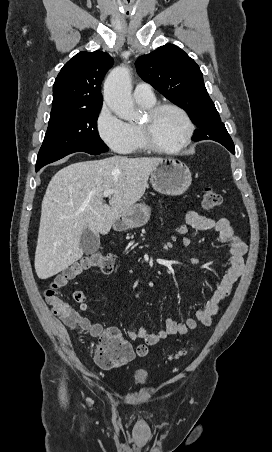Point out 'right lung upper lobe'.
<instances>
[{"instance_id": "right-lung-upper-lobe-1", "label": "right lung upper lobe", "mask_w": 272, "mask_h": 452, "mask_svg": "<svg viewBox=\"0 0 272 452\" xmlns=\"http://www.w3.org/2000/svg\"><path fill=\"white\" fill-rule=\"evenodd\" d=\"M113 63L102 51H82L69 60L53 85L51 115L101 108V81Z\"/></svg>"}]
</instances>
